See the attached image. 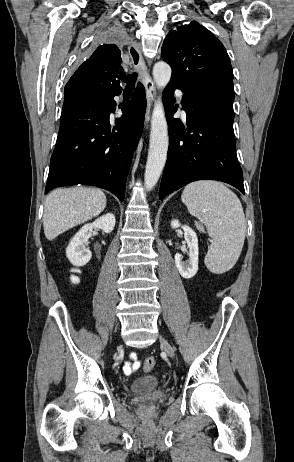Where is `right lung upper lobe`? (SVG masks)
Returning a JSON list of instances; mask_svg holds the SVG:
<instances>
[{"mask_svg": "<svg viewBox=\"0 0 294 462\" xmlns=\"http://www.w3.org/2000/svg\"><path fill=\"white\" fill-rule=\"evenodd\" d=\"M121 51L114 44L97 47L73 74L64 89V100L79 95L100 97L122 91L119 74L123 73Z\"/></svg>", "mask_w": 294, "mask_h": 462, "instance_id": "cb5924a9", "label": "right lung upper lobe"}]
</instances>
